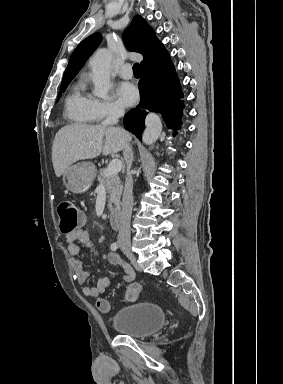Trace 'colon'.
Instances as JSON below:
<instances>
[{
  "mask_svg": "<svg viewBox=\"0 0 283 384\" xmlns=\"http://www.w3.org/2000/svg\"><path fill=\"white\" fill-rule=\"evenodd\" d=\"M57 212L60 218V229L63 233H71L84 224V214L70 199L62 200L57 207ZM141 292V287L138 284H131L126 292L128 300L136 299ZM97 308L102 313H108L111 309L110 303L106 299L97 301Z\"/></svg>",
  "mask_w": 283,
  "mask_h": 384,
  "instance_id": "5ec220e1",
  "label": "colon"
}]
</instances>
